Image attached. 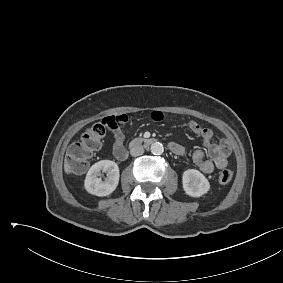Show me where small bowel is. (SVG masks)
<instances>
[{"label": "small bowel", "mask_w": 283, "mask_h": 283, "mask_svg": "<svg viewBox=\"0 0 283 283\" xmlns=\"http://www.w3.org/2000/svg\"><path fill=\"white\" fill-rule=\"evenodd\" d=\"M151 118L157 122L161 121L163 119V113L161 111H153ZM127 121L128 117L126 115L109 116L103 120V123L113 134V153L119 160H124L127 156L123 134V125ZM188 126L196 136L202 138L208 154V158H205V152L203 150H195L192 154V159L196 166L203 173H211L215 168L224 169L228 164V157L231 154V145L229 141L223 139L217 143H212V130L200 125L195 120H190ZM169 148L178 156H184L186 154V149L179 143L171 142Z\"/></svg>", "instance_id": "obj_1"}]
</instances>
